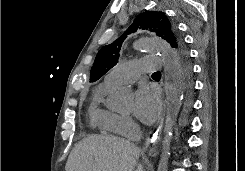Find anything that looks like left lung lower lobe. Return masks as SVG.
<instances>
[{"label":"left lung lower lobe","instance_id":"left-lung-lower-lobe-1","mask_svg":"<svg viewBox=\"0 0 245 171\" xmlns=\"http://www.w3.org/2000/svg\"><path fill=\"white\" fill-rule=\"evenodd\" d=\"M176 67H179V76L181 79V83L183 88L189 94L192 88V68H191V61H176Z\"/></svg>","mask_w":245,"mask_h":171}]
</instances>
